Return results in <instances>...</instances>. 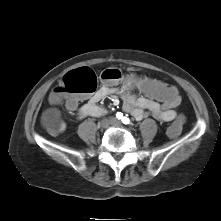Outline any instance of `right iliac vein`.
Wrapping results in <instances>:
<instances>
[{"instance_id":"63e3f726","label":"right iliac vein","mask_w":221,"mask_h":221,"mask_svg":"<svg viewBox=\"0 0 221 221\" xmlns=\"http://www.w3.org/2000/svg\"><path fill=\"white\" fill-rule=\"evenodd\" d=\"M111 124V121L108 119H104L99 123L101 128H107Z\"/></svg>"}]
</instances>
